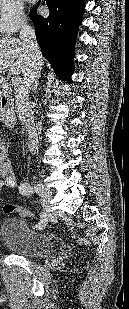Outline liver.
Returning <instances> with one entry per match:
<instances>
[{
    "label": "liver",
    "mask_w": 129,
    "mask_h": 309,
    "mask_svg": "<svg viewBox=\"0 0 129 309\" xmlns=\"http://www.w3.org/2000/svg\"><path fill=\"white\" fill-rule=\"evenodd\" d=\"M30 59L23 42L17 38L0 39V73L9 71L19 77L29 68ZM43 65V57L41 56Z\"/></svg>",
    "instance_id": "liver-1"
}]
</instances>
